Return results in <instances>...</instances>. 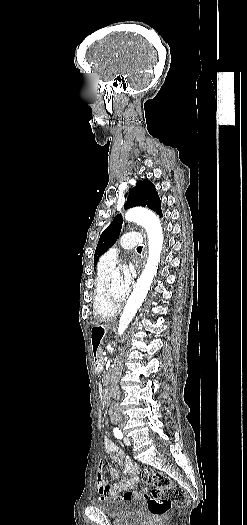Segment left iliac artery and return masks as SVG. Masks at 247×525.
Wrapping results in <instances>:
<instances>
[{
  "label": "left iliac artery",
  "instance_id": "obj_1",
  "mask_svg": "<svg viewBox=\"0 0 247 525\" xmlns=\"http://www.w3.org/2000/svg\"><path fill=\"white\" fill-rule=\"evenodd\" d=\"M113 433H114L116 438H118V439H122L123 438V434H122V432H121V430L119 428L115 427L113 429Z\"/></svg>",
  "mask_w": 247,
  "mask_h": 525
}]
</instances>
